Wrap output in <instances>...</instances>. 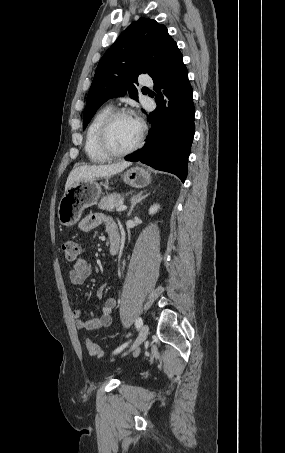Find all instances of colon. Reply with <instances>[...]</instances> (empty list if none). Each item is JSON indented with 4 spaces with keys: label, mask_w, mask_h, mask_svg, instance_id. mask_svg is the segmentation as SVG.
Here are the masks:
<instances>
[{
    "label": "colon",
    "mask_w": 285,
    "mask_h": 453,
    "mask_svg": "<svg viewBox=\"0 0 285 453\" xmlns=\"http://www.w3.org/2000/svg\"><path fill=\"white\" fill-rule=\"evenodd\" d=\"M62 250L66 259L70 261L77 260L81 255V245L73 238H67L62 242ZM86 349L91 356H103L102 349L92 340L86 341Z\"/></svg>",
    "instance_id": "5ec220e1"
}]
</instances>
